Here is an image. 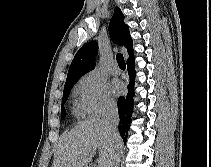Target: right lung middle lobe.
Masks as SVG:
<instances>
[{
  "label": "right lung middle lobe",
  "instance_id": "dd1d6c3e",
  "mask_svg": "<svg viewBox=\"0 0 211 167\" xmlns=\"http://www.w3.org/2000/svg\"><path fill=\"white\" fill-rule=\"evenodd\" d=\"M76 82H77V79L71 80V81H68L65 83L62 104H64L65 101L67 100L69 93ZM65 117H66V110H65L64 106L61 105V119H64Z\"/></svg>",
  "mask_w": 211,
  "mask_h": 167
}]
</instances>
